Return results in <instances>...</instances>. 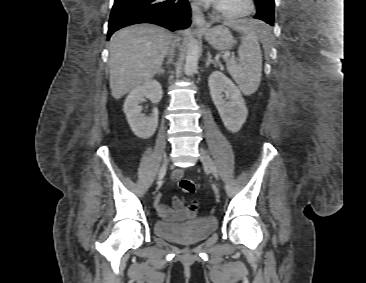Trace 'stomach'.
<instances>
[{"label": "stomach", "instance_id": "0dacf381", "mask_svg": "<svg viewBox=\"0 0 366 283\" xmlns=\"http://www.w3.org/2000/svg\"><path fill=\"white\" fill-rule=\"evenodd\" d=\"M206 41L215 49L220 51L229 50L234 44V38L230 31L224 26H217L203 31Z\"/></svg>", "mask_w": 366, "mask_h": 283}]
</instances>
